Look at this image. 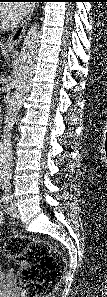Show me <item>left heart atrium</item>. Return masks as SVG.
Here are the masks:
<instances>
[{"label":"left heart atrium","mask_w":107,"mask_h":297,"mask_svg":"<svg viewBox=\"0 0 107 297\" xmlns=\"http://www.w3.org/2000/svg\"><path fill=\"white\" fill-rule=\"evenodd\" d=\"M28 5L25 3L8 4L3 10V15L8 22L19 21L28 11Z\"/></svg>","instance_id":"39dd6f15"}]
</instances>
